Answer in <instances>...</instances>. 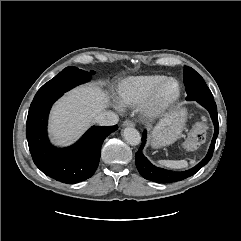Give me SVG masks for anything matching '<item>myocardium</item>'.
I'll return each instance as SVG.
<instances>
[{
  "mask_svg": "<svg viewBox=\"0 0 241 241\" xmlns=\"http://www.w3.org/2000/svg\"><path fill=\"white\" fill-rule=\"evenodd\" d=\"M170 82L175 85V93L168 99H160L162 88ZM180 95L181 86L178 80L171 77H166L156 85L147 99L142 103L141 112L146 118H157L165 113L169 108H171L178 101Z\"/></svg>",
  "mask_w": 241,
  "mask_h": 241,
  "instance_id": "myocardium-1",
  "label": "myocardium"
}]
</instances>
